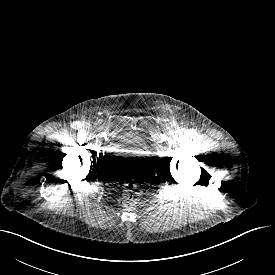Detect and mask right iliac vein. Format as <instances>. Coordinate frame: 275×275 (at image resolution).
Returning <instances> with one entry per match:
<instances>
[{
	"mask_svg": "<svg viewBox=\"0 0 275 275\" xmlns=\"http://www.w3.org/2000/svg\"><path fill=\"white\" fill-rule=\"evenodd\" d=\"M89 127H90V125L83 124V125L81 126V129H87V128H89Z\"/></svg>",
	"mask_w": 275,
	"mask_h": 275,
	"instance_id": "right-iliac-vein-1",
	"label": "right iliac vein"
}]
</instances>
